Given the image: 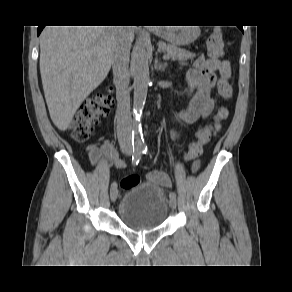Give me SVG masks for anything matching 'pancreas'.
I'll use <instances>...</instances> for the list:
<instances>
[{"label":"pancreas","mask_w":292,"mask_h":292,"mask_svg":"<svg viewBox=\"0 0 292 292\" xmlns=\"http://www.w3.org/2000/svg\"><path fill=\"white\" fill-rule=\"evenodd\" d=\"M159 48L173 60L184 61L188 59H193L195 57L194 53H191L185 49L179 48L175 45L166 44L164 42L158 43Z\"/></svg>","instance_id":"obj_1"}]
</instances>
